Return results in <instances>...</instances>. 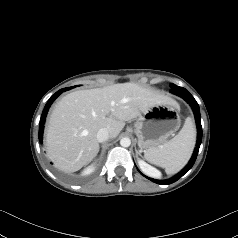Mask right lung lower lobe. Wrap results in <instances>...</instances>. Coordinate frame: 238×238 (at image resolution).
<instances>
[{"mask_svg": "<svg viewBox=\"0 0 238 238\" xmlns=\"http://www.w3.org/2000/svg\"><path fill=\"white\" fill-rule=\"evenodd\" d=\"M73 87H67V88H63V89H60L59 91H57L47 102V104L45 105L44 107V110L42 112V115H41V119H40V125H39V140L41 141L42 143V136H43V128H44V123H45V117H46V114H47V111L51 105V103L64 91H67L69 89H71Z\"/></svg>", "mask_w": 238, "mask_h": 238, "instance_id": "obj_1", "label": "right lung lower lobe"}]
</instances>
